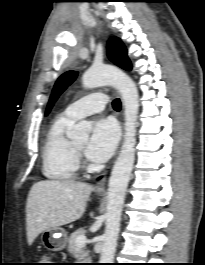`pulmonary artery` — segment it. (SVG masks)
<instances>
[{
  "label": "pulmonary artery",
  "instance_id": "pulmonary-artery-1",
  "mask_svg": "<svg viewBox=\"0 0 205 265\" xmlns=\"http://www.w3.org/2000/svg\"><path fill=\"white\" fill-rule=\"evenodd\" d=\"M107 101L105 94L93 93L69 105L63 112V115L76 121L85 116L103 111Z\"/></svg>",
  "mask_w": 205,
  "mask_h": 265
}]
</instances>
